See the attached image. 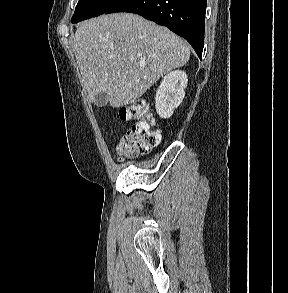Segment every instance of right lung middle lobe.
<instances>
[{
    "label": "right lung middle lobe",
    "mask_w": 288,
    "mask_h": 293,
    "mask_svg": "<svg viewBox=\"0 0 288 293\" xmlns=\"http://www.w3.org/2000/svg\"><path fill=\"white\" fill-rule=\"evenodd\" d=\"M120 0H79L75 13L71 19L72 23L99 16L108 11Z\"/></svg>",
    "instance_id": "obj_1"
}]
</instances>
